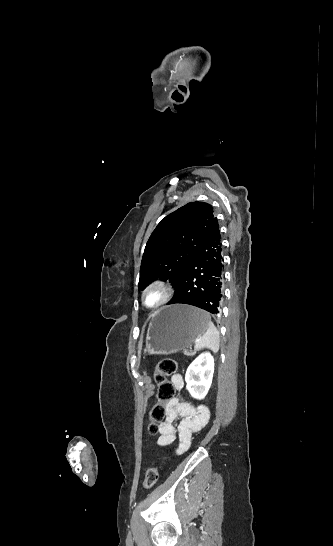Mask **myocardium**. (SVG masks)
<instances>
[{"instance_id": "myocardium-1", "label": "myocardium", "mask_w": 333, "mask_h": 546, "mask_svg": "<svg viewBox=\"0 0 333 546\" xmlns=\"http://www.w3.org/2000/svg\"><path fill=\"white\" fill-rule=\"evenodd\" d=\"M153 288L160 289L163 292V297L160 300V302H158L156 305H149L147 303V293ZM172 294H173V287L168 281L164 279H154L150 283H148L147 286L143 289L142 295H141L142 303L147 308L157 309L165 305L172 297Z\"/></svg>"}]
</instances>
